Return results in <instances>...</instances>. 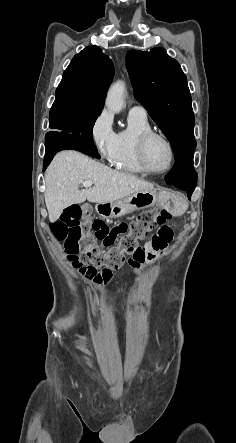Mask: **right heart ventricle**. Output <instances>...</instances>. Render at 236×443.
Here are the masks:
<instances>
[{
	"label": "right heart ventricle",
	"mask_w": 236,
	"mask_h": 443,
	"mask_svg": "<svg viewBox=\"0 0 236 443\" xmlns=\"http://www.w3.org/2000/svg\"><path fill=\"white\" fill-rule=\"evenodd\" d=\"M150 129L147 118L129 114L127 127L117 133V153L112 163L118 170L132 174L145 173L137 159L136 142L142 132Z\"/></svg>",
	"instance_id": "1"
}]
</instances>
